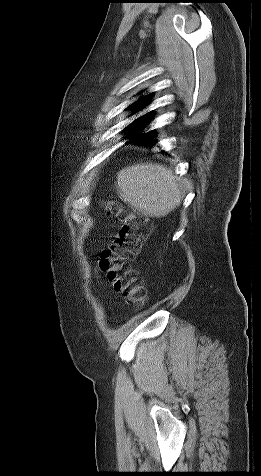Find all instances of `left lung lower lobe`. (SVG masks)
<instances>
[{
    "label": "left lung lower lobe",
    "mask_w": 261,
    "mask_h": 476,
    "mask_svg": "<svg viewBox=\"0 0 261 476\" xmlns=\"http://www.w3.org/2000/svg\"><path fill=\"white\" fill-rule=\"evenodd\" d=\"M138 126L134 125V129L136 128V130H131V128L126 130V131H131V134L129 133V136L130 135L134 136L132 138V142H136L138 144H142V145H146V146L154 145L155 143H153V141L155 142V140L150 137V135H149L150 133L139 134L138 131H141L144 127L141 126V125H138ZM131 127L133 128V126H131Z\"/></svg>",
    "instance_id": "obj_1"
}]
</instances>
